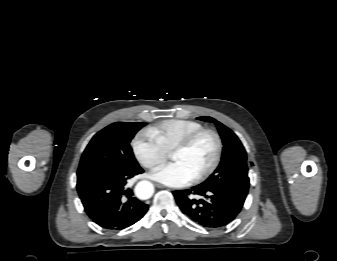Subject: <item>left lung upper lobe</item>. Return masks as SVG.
Listing matches in <instances>:
<instances>
[{"label": "left lung upper lobe", "mask_w": 337, "mask_h": 261, "mask_svg": "<svg viewBox=\"0 0 337 261\" xmlns=\"http://www.w3.org/2000/svg\"><path fill=\"white\" fill-rule=\"evenodd\" d=\"M199 120L214 122L223 140L222 160L214 173L198 185L202 189H218L226 192L241 204L249 189L246 151L238 137L225 125L211 117H198Z\"/></svg>", "instance_id": "obj_1"}]
</instances>
